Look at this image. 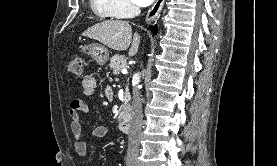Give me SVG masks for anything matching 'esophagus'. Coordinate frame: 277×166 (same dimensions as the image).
I'll return each instance as SVG.
<instances>
[{"instance_id":"obj_1","label":"esophagus","mask_w":277,"mask_h":166,"mask_svg":"<svg viewBox=\"0 0 277 166\" xmlns=\"http://www.w3.org/2000/svg\"><path fill=\"white\" fill-rule=\"evenodd\" d=\"M164 2L165 0H156L153 6L148 10L146 15V21L148 23H152L159 19Z\"/></svg>"}]
</instances>
